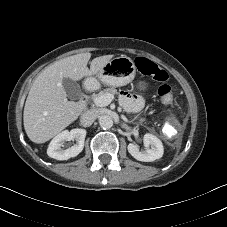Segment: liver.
<instances>
[{"label":"liver","instance_id":"1","mask_svg":"<svg viewBox=\"0 0 227 227\" xmlns=\"http://www.w3.org/2000/svg\"><path fill=\"white\" fill-rule=\"evenodd\" d=\"M113 57H96L88 68L91 53L76 54L54 62L38 75L29 90L23 112L24 129L32 142L49 141L74 122L86 106L82 102L68 101L62 80L78 81L97 75Z\"/></svg>","mask_w":227,"mask_h":227}]
</instances>
